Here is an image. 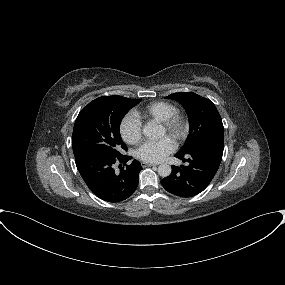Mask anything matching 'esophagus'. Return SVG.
Instances as JSON below:
<instances>
[{
  "instance_id": "esophagus-1",
  "label": "esophagus",
  "mask_w": 285,
  "mask_h": 285,
  "mask_svg": "<svg viewBox=\"0 0 285 285\" xmlns=\"http://www.w3.org/2000/svg\"><path fill=\"white\" fill-rule=\"evenodd\" d=\"M142 167H151V166H156L157 164L154 163H146V162H142Z\"/></svg>"
}]
</instances>
